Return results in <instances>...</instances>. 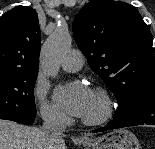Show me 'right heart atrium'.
<instances>
[{"instance_id":"d8ad5b80","label":"right heart atrium","mask_w":155,"mask_h":149,"mask_svg":"<svg viewBox=\"0 0 155 149\" xmlns=\"http://www.w3.org/2000/svg\"><path fill=\"white\" fill-rule=\"evenodd\" d=\"M34 93L40 105L42 118L46 122L57 125H62L67 122V116L64 111L46 99L45 86L36 84Z\"/></svg>"}]
</instances>
